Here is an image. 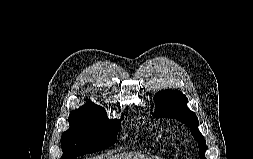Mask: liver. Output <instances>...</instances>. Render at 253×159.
Masks as SVG:
<instances>
[{"label": "liver", "mask_w": 253, "mask_h": 159, "mask_svg": "<svg viewBox=\"0 0 253 159\" xmlns=\"http://www.w3.org/2000/svg\"><path fill=\"white\" fill-rule=\"evenodd\" d=\"M108 159H150V158L140 153L129 152L117 154L115 156L109 157Z\"/></svg>", "instance_id": "1"}]
</instances>
